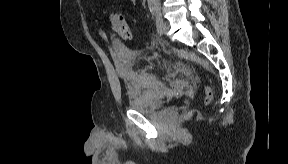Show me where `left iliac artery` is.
<instances>
[{
    "instance_id": "obj_1",
    "label": "left iliac artery",
    "mask_w": 288,
    "mask_h": 164,
    "mask_svg": "<svg viewBox=\"0 0 288 164\" xmlns=\"http://www.w3.org/2000/svg\"><path fill=\"white\" fill-rule=\"evenodd\" d=\"M148 5L153 15L156 16L157 18H160L161 5H160L159 0H148Z\"/></svg>"
}]
</instances>
